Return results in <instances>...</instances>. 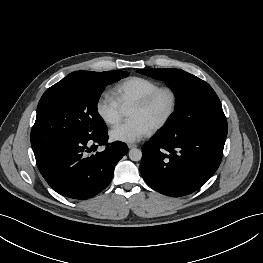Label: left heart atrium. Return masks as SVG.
<instances>
[{
  "mask_svg": "<svg viewBox=\"0 0 263 263\" xmlns=\"http://www.w3.org/2000/svg\"><path fill=\"white\" fill-rule=\"evenodd\" d=\"M152 127L139 118L124 121L110 131V137L114 141L134 143L149 135Z\"/></svg>",
  "mask_w": 263,
  "mask_h": 263,
  "instance_id": "obj_1",
  "label": "left heart atrium"
}]
</instances>
